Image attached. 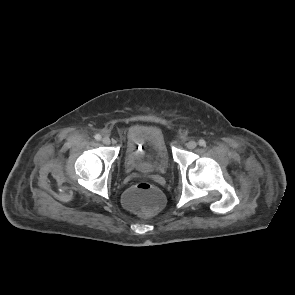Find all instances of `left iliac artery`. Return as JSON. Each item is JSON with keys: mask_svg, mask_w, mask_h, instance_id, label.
<instances>
[{"mask_svg": "<svg viewBox=\"0 0 295 295\" xmlns=\"http://www.w3.org/2000/svg\"><path fill=\"white\" fill-rule=\"evenodd\" d=\"M198 143H199L200 146H206V142L203 139L199 140Z\"/></svg>", "mask_w": 295, "mask_h": 295, "instance_id": "obj_1", "label": "left iliac artery"}]
</instances>
